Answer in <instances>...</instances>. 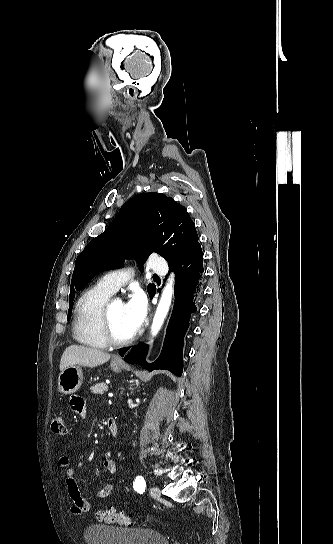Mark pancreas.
I'll return each instance as SVG.
<instances>
[{
	"label": "pancreas",
	"mask_w": 333,
	"mask_h": 544,
	"mask_svg": "<svg viewBox=\"0 0 333 544\" xmlns=\"http://www.w3.org/2000/svg\"><path fill=\"white\" fill-rule=\"evenodd\" d=\"M90 389L94 394L102 395L104 392L108 391V386L105 383H98L91 386Z\"/></svg>",
	"instance_id": "pancreas-1"
}]
</instances>
